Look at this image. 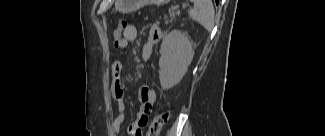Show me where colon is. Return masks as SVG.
<instances>
[{"mask_svg":"<svg viewBox=\"0 0 325 136\" xmlns=\"http://www.w3.org/2000/svg\"><path fill=\"white\" fill-rule=\"evenodd\" d=\"M128 24L122 21L114 30V42L118 44L123 38V31ZM168 120V112L163 111L157 114L149 125L148 131L145 136H159L163 125Z\"/></svg>","mask_w":325,"mask_h":136,"instance_id":"obj_1","label":"colon"}]
</instances>
